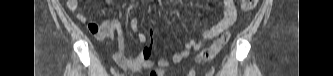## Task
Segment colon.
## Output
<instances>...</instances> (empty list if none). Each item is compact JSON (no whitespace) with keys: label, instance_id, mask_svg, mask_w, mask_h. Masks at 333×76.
Wrapping results in <instances>:
<instances>
[{"label":"colon","instance_id":"obj_1","mask_svg":"<svg viewBox=\"0 0 333 76\" xmlns=\"http://www.w3.org/2000/svg\"><path fill=\"white\" fill-rule=\"evenodd\" d=\"M257 4V0H242L240 3L242 10H252ZM230 39L228 32L218 38L209 48L201 52L196 60L199 63H205L215 58L217 53L227 44Z\"/></svg>","mask_w":333,"mask_h":76}]
</instances>
